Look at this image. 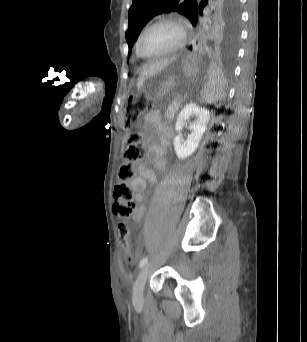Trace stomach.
<instances>
[{
  "mask_svg": "<svg viewBox=\"0 0 307 342\" xmlns=\"http://www.w3.org/2000/svg\"><path fill=\"white\" fill-rule=\"evenodd\" d=\"M191 76V57L175 58L156 75L145 80L141 90L152 99L178 100L182 94L180 75Z\"/></svg>",
  "mask_w": 307,
  "mask_h": 342,
  "instance_id": "0dacf381",
  "label": "stomach"
}]
</instances>
